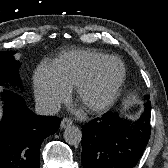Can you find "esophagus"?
<instances>
[{
    "label": "esophagus",
    "mask_w": 168,
    "mask_h": 168,
    "mask_svg": "<svg viewBox=\"0 0 168 168\" xmlns=\"http://www.w3.org/2000/svg\"><path fill=\"white\" fill-rule=\"evenodd\" d=\"M72 120L70 118H63L62 121H61V124H60V128L61 129H64L68 126H71L72 125Z\"/></svg>",
    "instance_id": "34e87169"
}]
</instances>
